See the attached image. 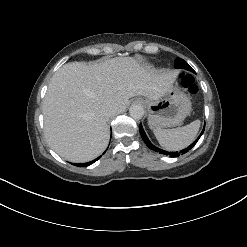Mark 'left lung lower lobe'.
<instances>
[{"label": "left lung lower lobe", "instance_id": "1", "mask_svg": "<svg viewBox=\"0 0 247 247\" xmlns=\"http://www.w3.org/2000/svg\"><path fill=\"white\" fill-rule=\"evenodd\" d=\"M193 72H194V71H193ZM204 129H205V126H204V128H203L201 134L199 135V137H198V138H197L190 146H188L187 148L181 150L180 152H168V151H164V150H162V149L157 148L156 146H154V145L150 142V140L148 139V137L146 136L145 131H144L142 125L140 124V126H139V131H140L141 137H142V139L144 140V142L146 143V145H147L150 149H152V150H154V151H156V152H159V153H161V154H164V155H169L170 157H178L180 154H184V153H186L188 150H190V149L197 143V141L200 139L201 135H202L203 132H204Z\"/></svg>", "mask_w": 247, "mask_h": 247}]
</instances>
